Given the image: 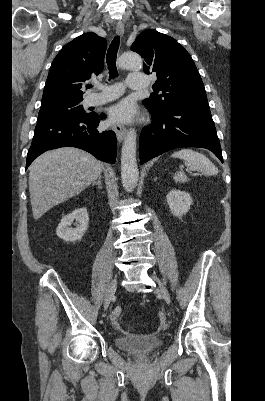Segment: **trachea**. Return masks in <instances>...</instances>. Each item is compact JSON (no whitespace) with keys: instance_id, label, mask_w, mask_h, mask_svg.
I'll list each match as a JSON object with an SVG mask.
<instances>
[{"instance_id":"3493384b","label":"trachea","mask_w":265,"mask_h":401,"mask_svg":"<svg viewBox=\"0 0 265 401\" xmlns=\"http://www.w3.org/2000/svg\"><path fill=\"white\" fill-rule=\"evenodd\" d=\"M119 44H120V37L117 36L113 39L111 45L108 48L106 60L110 78H115L117 76L116 60H117V52ZM91 86L92 85H89V88Z\"/></svg>"}]
</instances>
